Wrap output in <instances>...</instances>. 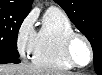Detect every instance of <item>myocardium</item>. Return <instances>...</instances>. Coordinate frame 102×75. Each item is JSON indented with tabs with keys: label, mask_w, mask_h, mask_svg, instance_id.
I'll use <instances>...</instances> for the list:
<instances>
[{
	"label": "myocardium",
	"mask_w": 102,
	"mask_h": 75,
	"mask_svg": "<svg viewBox=\"0 0 102 75\" xmlns=\"http://www.w3.org/2000/svg\"><path fill=\"white\" fill-rule=\"evenodd\" d=\"M79 39L85 43L88 50V60L85 64L78 63L75 59L74 52H73L74 43ZM64 51L68 60L72 63V65L86 66L87 64L90 63L92 59V45L89 39L84 34L79 33V32H73L65 39Z\"/></svg>",
	"instance_id": "myocardium-1"
}]
</instances>
